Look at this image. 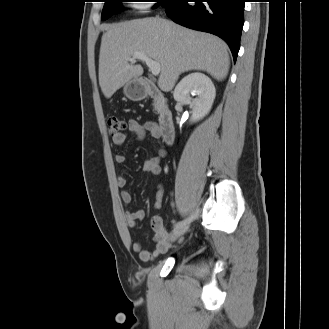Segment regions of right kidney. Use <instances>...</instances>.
<instances>
[{"label": "right kidney", "instance_id": "obj_1", "mask_svg": "<svg viewBox=\"0 0 329 329\" xmlns=\"http://www.w3.org/2000/svg\"><path fill=\"white\" fill-rule=\"evenodd\" d=\"M190 95L198 97L192 99ZM215 95L216 91L211 79L199 72L185 76L175 87L173 93L177 102L193 107L191 122H197L209 113Z\"/></svg>", "mask_w": 329, "mask_h": 329}]
</instances>
